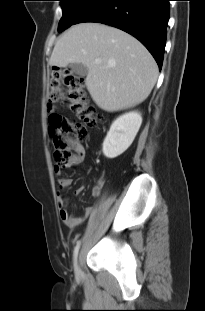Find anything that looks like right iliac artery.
Returning a JSON list of instances; mask_svg holds the SVG:
<instances>
[{"instance_id":"82829eb1","label":"right iliac artery","mask_w":205,"mask_h":311,"mask_svg":"<svg viewBox=\"0 0 205 311\" xmlns=\"http://www.w3.org/2000/svg\"><path fill=\"white\" fill-rule=\"evenodd\" d=\"M80 245H81V241L79 240V241H77V244L74 247V251H73V259H74V261L77 258V255H78V252H79V249H80Z\"/></svg>"}]
</instances>
